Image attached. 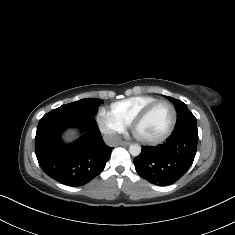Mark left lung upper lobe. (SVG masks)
I'll use <instances>...</instances> for the list:
<instances>
[{
    "label": "left lung upper lobe",
    "instance_id": "5c2ea615",
    "mask_svg": "<svg viewBox=\"0 0 235 235\" xmlns=\"http://www.w3.org/2000/svg\"><path fill=\"white\" fill-rule=\"evenodd\" d=\"M174 103L177 111V124L172 134L189 131L198 133L195 116L187 108L186 104L180 100L168 97Z\"/></svg>",
    "mask_w": 235,
    "mask_h": 235
}]
</instances>
